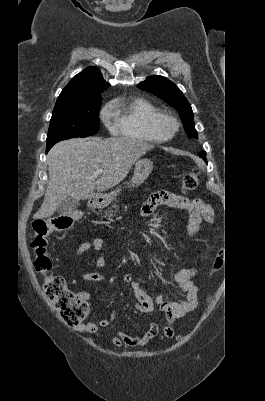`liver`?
Wrapping results in <instances>:
<instances>
[{
    "label": "liver",
    "instance_id": "6515ba94",
    "mask_svg": "<svg viewBox=\"0 0 265 401\" xmlns=\"http://www.w3.org/2000/svg\"><path fill=\"white\" fill-rule=\"evenodd\" d=\"M154 144L132 138H70L52 146L47 154L49 180L43 205L33 219L51 217L60 201L71 196L84 201L103 190L119 184L127 176L132 164ZM103 168L101 176H92Z\"/></svg>",
    "mask_w": 265,
    "mask_h": 401
}]
</instances>
